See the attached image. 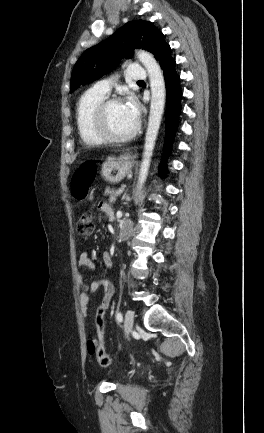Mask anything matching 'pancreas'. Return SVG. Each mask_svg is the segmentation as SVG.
I'll list each match as a JSON object with an SVG mask.
<instances>
[{"mask_svg": "<svg viewBox=\"0 0 264 433\" xmlns=\"http://www.w3.org/2000/svg\"><path fill=\"white\" fill-rule=\"evenodd\" d=\"M105 195L109 196V202L110 203H114L116 201L117 197L119 196V194H117L116 190L111 189L109 187L106 188Z\"/></svg>", "mask_w": 264, "mask_h": 433, "instance_id": "1", "label": "pancreas"}]
</instances>
